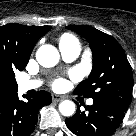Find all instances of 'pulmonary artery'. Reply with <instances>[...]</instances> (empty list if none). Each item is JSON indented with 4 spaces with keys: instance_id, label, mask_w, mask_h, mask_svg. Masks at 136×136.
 Masks as SVG:
<instances>
[{
    "instance_id": "obj_1",
    "label": "pulmonary artery",
    "mask_w": 136,
    "mask_h": 136,
    "mask_svg": "<svg viewBox=\"0 0 136 136\" xmlns=\"http://www.w3.org/2000/svg\"><path fill=\"white\" fill-rule=\"evenodd\" d=\"M59 49L62 55V58L66 62H72L74 61L80 54L81 48L79 44H59ZM41 85V82L38 80H30V81H23L19 84V90L21 92H26L32 89H36ZM88 105L93 104V100L89 99L87 101Z\"/></svg>"
}]
</instances>
